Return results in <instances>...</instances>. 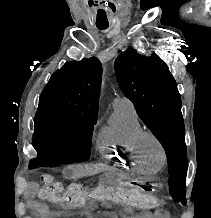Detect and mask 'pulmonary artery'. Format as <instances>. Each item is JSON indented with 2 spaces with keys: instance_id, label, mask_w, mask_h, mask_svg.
Wrapping results in <instances>:
<instances>
[{
  "instance_id": "obj_1",
  "label": "pulmonary artery",
  "mask_w": 211,
  "mask_h": 218,
  "mask_svg": "<svg viewBox=\"0 0 211 218\" xmlns=\"http://www.w3.org/2000/svg\"><path fill=\"white\" fill-rule=\"evenodd\" d=\"M123 106H129V107H134L133 103L131 102V100L125 96L123 97H116L113 100V107L117 108V107H123Z\"/></svg>"
}]
</instances>
